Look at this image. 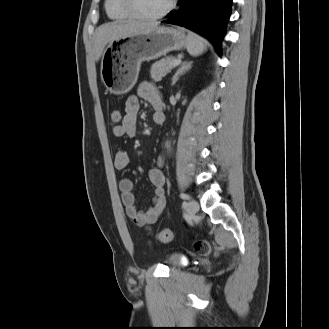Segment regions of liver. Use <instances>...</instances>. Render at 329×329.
<instances>
[{
    "instance_id": "liver-1",
    "label": "liver",
    "mask_w": 329,
    "mask_h": 329,
    "mask_svg": "<svg viewBox=\"0 0 329 329\" xmlns=\"http://www.w3.org/2000/svg\"><path fill=\"white\" fill-rule=\"evenodd\" d=\"M158 24L139 23V22H111L98 27L94 37V58L99 61L103 55L105 47L111 41L131 36L139 33L148 32L156 28Z\"/></svg>"
}]
</instances>
